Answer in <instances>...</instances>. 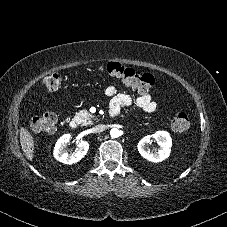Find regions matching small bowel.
<instances>
[{
    "mask_svg": "<svg viewBox=\"0 0 227 227\" xmlns=\"http://www.w3.org/2000/svg\"><path fill=\"white\" fill-rule=\"evenodd\" d=\"M106 96L111 98L110 110L119 111L121 107L130 106L132 99L127 94H118L114 86H109L105 90ZM136 105L145 112L152 113L157 109V103L152 99L149 93H140L136 99Z\"/></svg>",
    "mask_w": 227,
    "mask_h": 227,
    "instance_id": "small-bowel-1",
    "label": "small bowel"
}]
</instances>
